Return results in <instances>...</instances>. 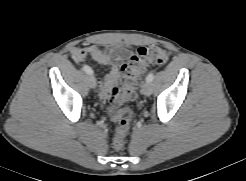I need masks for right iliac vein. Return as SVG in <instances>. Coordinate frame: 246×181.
<instances>
[{
  "mask_svg": "<svg viewBox=\"0 0 246 181\" xmlns=\"http://www.w3.org/2000/svg\"><path fill=\"white\" fill-rule=\"evenodd\" d=\"M88 82H89V86L91 88H94L95 87V79H94V77L92 75H89L88 76Z\"/></svg>",
  "mask_w": 246,
  "mask_h": 181,
  "instance_id": "1",
  "label": "right iliac vein"
}]
</instances>
